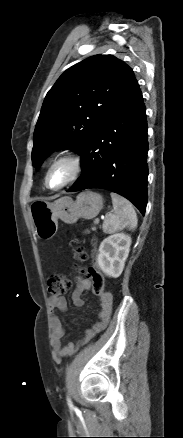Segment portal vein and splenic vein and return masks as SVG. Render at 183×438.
Here are the masks:
<instances>
[{
  "label": "portal vein and splenic vein",
  "mask_w": 183,
  "mask_h": 438,
  "mask_svg": "<svg viewBox=\"0 0 183 438\" xmlns=\"http://www.w3.org/2000/svg\"><path fill=\"white\" fill-rule=\"evenodd\" d=\"M95 221H96V223H99V219L98 218Z\"/></svg>",
  "instance_id": "18ae733b"
}]
</instances>
